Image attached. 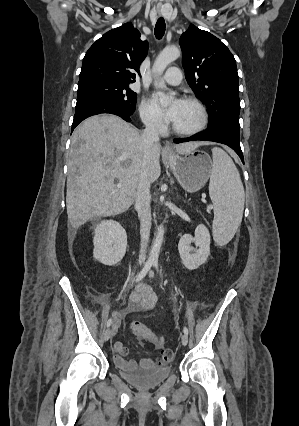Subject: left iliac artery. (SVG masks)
<instances>
[{
    "mask_svg": "<svg viewBox=\"0 0 299 426\" xmlns=\"http://www.w3.org/2000/svg\"><path fill=\"white\" fill-rule=\"evenodd\" d=\"M153 264H154L155 268H156V269H158V262H157V261H155ZM183 332H184L185 334H187V335H188V328H187V327H184V328H183Z\"/></svg>",
    "mask_w": 299,
    "mask_h": 426,
    "instance_id": "1",
    "label": "left iliac artery"
}]
</instances>
